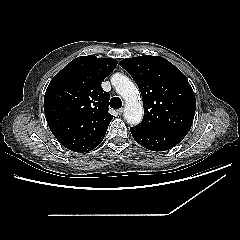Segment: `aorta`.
<instances>
[{"instance_id":"762f6f07","label":"aorta","mask_w":240,"mask_h":240,"mask_svg":"<svg viewBox=\"0 0 240 240\" xmlns=\"http://www.w3.org/2000/svg\"><path fill=\"white\" fill-rule=\"evenodd\" d=\"M111 83L125 100L124 117L127 123L133 126L139 124L143 118V105L135 84L119 73L112 76Z\"/></svg>"}]
</instances>
